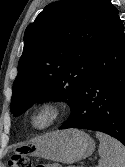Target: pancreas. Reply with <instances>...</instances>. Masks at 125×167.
<instances>
[{"label":"pancreas","mask_w":125,"mask_h":167,"mask_svg":"<svg viewBox=\"0 0 125 167\" xmlns=\"http://www.w3.org/2000/svg\"><path fill=\"white\" fill-rule=\"evenodd\" d=\"M69 167H76V166H69ZM77 167H79V166H77Z\"/></svg>","instance_id":"cf45deb5"}]
</instances>
